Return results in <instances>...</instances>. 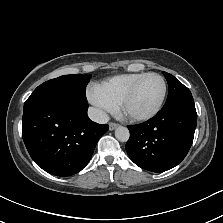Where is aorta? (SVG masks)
Wrapping results in <instances>:
<instances>
[{"label":"aorta","mask_w":223,"mask_h":223,"mask_svg":"<svg viewBox=\"0 0 223 223\" xmlns=\"http://www.w3.org/2000/svg\"><path fill=\"white\" fill-rule=\"evenodd\" d=\"M115 137L120 141H127L129 138V130L127 127L118 126L115 128Z\"/></svg>","instance_id":"aorta-1"}]
</instances>
